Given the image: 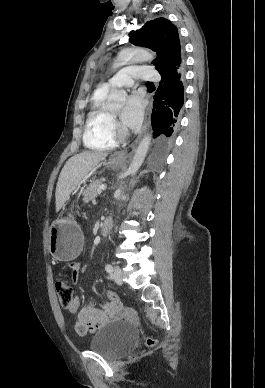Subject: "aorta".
Returning <instances> with one entry per match:
<instances>
[{"instance_id": "aorta-1", "label": "aorta", "mask_w": 265, "mask_h": 388, "mask_svg": "<svg viewBox=\"0 0 265 388\" xmlns=\"http://www.w3.org/2000/svg\"><path fill=\"white\" fill-rule=\"evenodd\" d=\"M154 59L153 53L148 50L137 48L130 50L121 51L114 63V68H118L120 66L125 65L128 62H147ZM126 92L124 90H115L113 91L108 98L109 106H120L126 100ZM151 143V134L147 133L144 138L141 140L134 157L129 165L128 172L129 174H135L139 168L141 167L146 154L148 152L149 146Z\"/></svg>"}]
</instances>
